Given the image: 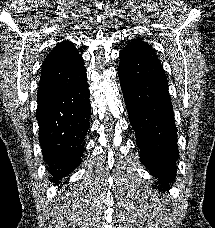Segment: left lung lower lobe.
<instances>
[{
	"label": "left lung lower lobe",
	"instance_id": "1",
	"mask_svg": "<svg viewBox=\"0 0 215 228\" xmlns=\"http://www.w3.org/2000/svg\"><path fill=\"white\" fill-rule=\"evenodd\" d=\"M119 57L118 75L140 161L160 179L159 190H167L179 158L167 78L156 54L122 51Z\"/></svg>",
	"mask_w": 215,
	"mask_h": 228
}]
</instances>
